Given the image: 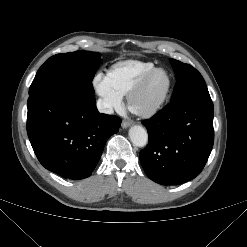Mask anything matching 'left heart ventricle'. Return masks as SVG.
<instances>
[{"label":"left heart ventricle","instance_id":"b2bd125f","mask_svg":"<svg viewBox=\"0 0 247 247\" xmlns=\"http://www.w3.org/2000/svg\"><path fill=\"white\" fill-rule=\"evenodd\" d=\"M166 85H167L166 75L162 72L156 74L142 101L148 102L159 97L165 90Z\"/></svg>","mask_w":247,"mask_h":247}]
</instances>
